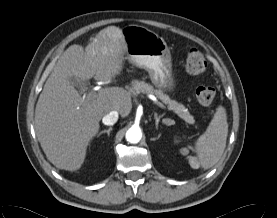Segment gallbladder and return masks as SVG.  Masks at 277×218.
I'll use <instances>...</instances> for the list:
<instances>
[{
  "label": "gallbladder",
  "instance_id": "bac80fb5",
  "mask_svg": "<svg viewBox=\"0 0 277 218\" xmlns=\"http://www.w3.org/2000/svg\"><path fill=\"white\" fill-rule=\"evenodd\" d=\"M68 80L74 87H76L80 91L84 90L88 84L87 81H83L75 76L70 77Z\"/></svg>",
  "mask_w": 277,
  "mask_h": 218
}]
</instances>
